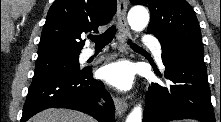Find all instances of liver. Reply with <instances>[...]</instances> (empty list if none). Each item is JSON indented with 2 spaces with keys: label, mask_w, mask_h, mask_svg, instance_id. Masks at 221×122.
<instances>
[{
  "label": "liver",
  "mask_w": 221,
  "mask_h": 122,
  "mask_svg": "<svg viewBox=\"0 0 221 122\" xmlns=\"http://www.w3.org/2000/svg\"><path fill=\"white\" fill-rule=\"evenodd\" d=\"M29 122H94V119L79 111L49 108L33 116Z\"/></svg>",
  "instance_id": "obj_1"
}]
</instances>
